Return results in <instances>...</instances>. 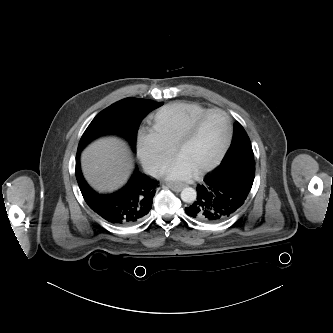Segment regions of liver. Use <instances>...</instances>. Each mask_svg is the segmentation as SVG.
Instances as JSON below:
<instances>
[{
  "label": "liver",
  "mask_w": 333,
  "mask_h": 333,
  "mask_svg": "<svg viewBox=\"0 0 333 333\" xmlns=\"http://www.w3.org/2000/svg\"><path fill=\"white\" fill-rule=\"evenodd\" d=\"M87 182L99 192H111L128 178L132 163L127 146L116 138L100 139L81 155Z\"/></svg>",
  "instance_id": "liver-1"
}]
</instances>
